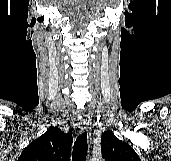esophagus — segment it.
Listing matches in <instances>:
<instances>
[{
	"label": "esophagus",
	"mask_w": 171,
	"mask_h": 161,
	"mask_svg": "<svg viewBox=\"0 0 171 161\" xmlns=\"http://www.w3.org/2000/svg\"><path fill=\"white\" fill-rule=\"evenodd\" d=\"M89 124V117L85 114H80L78 116V128L80 129V132H83L87 129V126Z\"/></svg>",
	"instance_id": "34e87169"
}]
</instances>
